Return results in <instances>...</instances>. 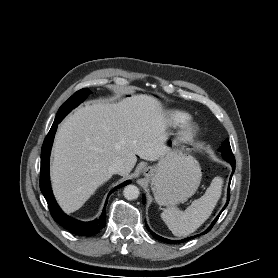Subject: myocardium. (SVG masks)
Instances as JSON below:
<instances>
[{
    "instance_id": "obj_1",
    "label": "myocardium",
    "mask_w": 278,
    "mask_h": 278,
    "mask_svg": "<svg viewBox=\"0 0 278 278\" xmlns=\"http://www.w3.org/2000/svg\"><path fill=\"white\" fill-rule=\"evenodd\" d=\"M198 133V127L193 122H187L180 132V138L183 141H191Z\"/></svg>"
}]
</instances>
